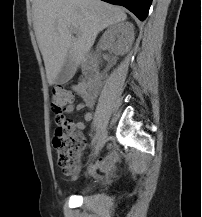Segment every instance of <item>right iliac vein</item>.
<instances>
[{
	"instance_id": "right-iliac-vein-1",
	"label": "right iliac vein",
	"mask_w": 202,
	"mask_h": 217,
	"mask_svg": "<svg viewBox=\"0 0 202 217\" xmlns=\"http://www.w3.org/2000/svg\"><path fill=\"white\" fill-rule=\"evenodd\" d=\"M106 141H107V132L103 131L102 134L100 135L99 139H98L96 149H95V155H97L99 153V151L103 148Z\"/></svg>"
}]
</instances>
